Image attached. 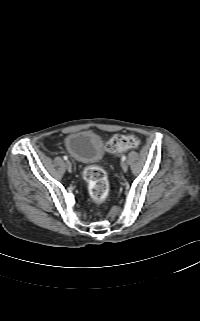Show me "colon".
I'll list each match as a JSON object with an SVG mask.
<instances>
[{
  "label": "colon",
  "instance_id": "1",
  "mask_svg": "<svg viewBox=\"0 0 200 321\" xmlns=\"http://www.w3.org/2000/svg\"><path fill=\"white\" fill-rule=\"evenodd\" d=\"M139 140L134 135H116L107 143V151L119 154L137 148ZM84 179L88 184L89 194L96 203H103L109 195V182L106 173L98 166H89L84 170Z\"/></svg>",
  "mask_w": 200,
  "mask_h": 321
}]
</instances>
